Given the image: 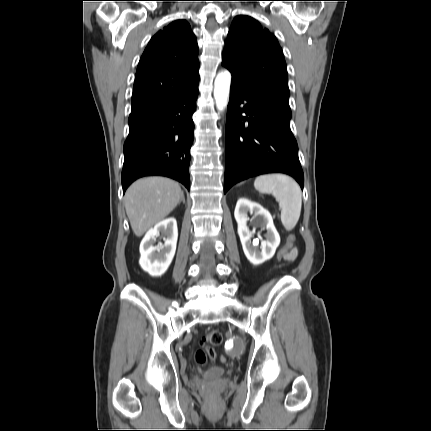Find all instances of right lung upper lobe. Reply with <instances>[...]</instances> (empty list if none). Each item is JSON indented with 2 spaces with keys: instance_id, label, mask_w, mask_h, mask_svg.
<instances>
[{
  "instance_id": "obj_1",
  "label": "right lung upper lobe",
  "mask_w": 431,
  "mask_h": 431,
  "mask_svg": "<svg viewBox=\"0 0 431 431\" xmlns=\"http://www.w3.org/2000/svg\"><path fill=\"white\" fill-rule=\"evenodd\" d=\"M198 45L185 20L172 22L148 43L137 67L132 111L164 103L199 81Z\"/></svg>"
}]
</instances>
